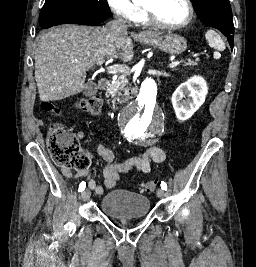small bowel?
I'll list each match as a JSON object with an SVG mask.
<instances>
[{
    "mask_svg": "<svg viewBox=\"0 0 256 267\" xmlns=\"http://www.w3.org/2000/svg\"><path fill=\"white\" fill-rule=\"evenodd\" d=\"M79 141H83L84 137L79 136ZM96 153L103 159L105 166L103 168L104 184L99 185L89 177L88 170H81L75 174V178H81L88 181L89 187L98 195H102L105 191L115 187L122 175L130 173L133 169H137L145 174L151 170V164L162 163L166 159L164 151L157 147L151 146L143 152L131 157L125 161H120L116 154L105 145H99ZM66 178H71L73 175L67 168L61 169Z\"/></svg>",
    "mask_w": 256,
    "mask_h": 267,
    "instance_id": "small-bowel-1",
    "label": "small bowel"
}]
</instances>
